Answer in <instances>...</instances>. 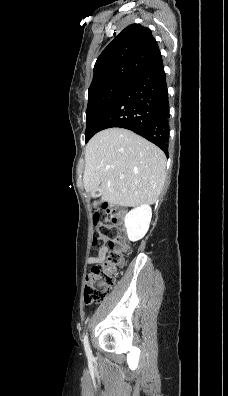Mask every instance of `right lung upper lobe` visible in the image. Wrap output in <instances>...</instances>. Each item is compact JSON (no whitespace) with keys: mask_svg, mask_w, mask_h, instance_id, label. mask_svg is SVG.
Returning <instances> with one entry per match:
<instances>
[{"mask_svg":"<svg viewBox=\"0 0 228 396\" xmlns=\"http://www.w3.org/2000/svg\"><path fill=\"white\" fill-rule=\"evenodd\" d=\"M159 55L151 30L140 24H131L98 57L89 90L112 82L131 83Z\"/></svg>","mask_w":228,"mask_h":396,"instance_id":"cb5924a9","label":"right lung upper lobe"}]
</instances>
